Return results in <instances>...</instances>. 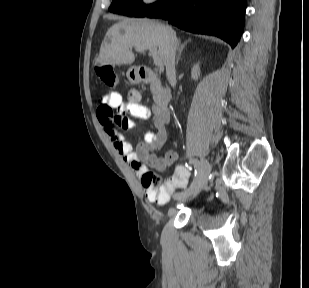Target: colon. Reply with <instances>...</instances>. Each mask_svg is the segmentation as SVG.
Returning <instances> with one entry per match:
<instances>
[{"label": "colon", "instance_id": "1", "mask_svg": "<svg viewBox=\"0 0 309 288\" xmlns=\"http://www.w3.org/2000/svg\"><path fill=\"white\" fill-rule=\"evenodd\" d=\"M96 73L99 81L106 87L113 88L116 87L119 83L118 74L113 67L110 65H99L96 68ZM98 111L107 112L112 116L113 122L116 125H124L128 118L126 113L123 110H118L116 113L113 112V109L107 107H99ZM141 182L143 186L148 190H157L160 178L157 174L146 171L141 176Z\"/></svg>", "mask_w": 309, "mask_h": 288}]
</instances>
